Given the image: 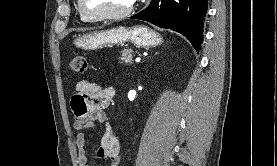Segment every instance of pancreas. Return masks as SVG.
<instances>
[{
	"label": "pancreas",
	"instance_id": "pancreas-1",
	"mask_svg": "<svg viewBox=\"0 0 277 166\" xmlns=\"http://www.w3.org/2000/svg\"><path fill=\"white\" fill-rule=\"evenodd\" d=\"M136 53H137L136 51L126 48L121 51V60L124 61L125 63H131L133 56Z\"/></svg>",
	"mask_w": 277,
	"mask_h": 166
}]
</instances>
